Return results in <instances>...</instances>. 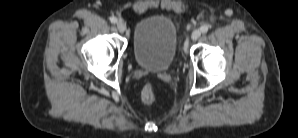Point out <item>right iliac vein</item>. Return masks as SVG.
<instances>
[{
    "label": "right iliac vein",
    "mask_w": 298,
    "mask_h": 138,
    "mask_svg": "<svg viewBox=\"0 0 298 138\" xmlns=\"http://www.w3.org/2000/svg\"><path fill=\"white\" fill-rule=\"evenodd\" d=\"M116 26H117V29L119 32H121V33L125 32L126 26L123 22H121V21L117 22Z\"/></svg>",
    "instance_id": "obj_1"
}]
</instances>
